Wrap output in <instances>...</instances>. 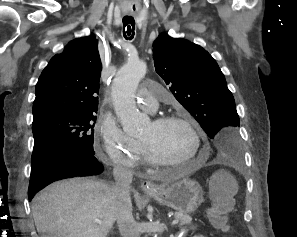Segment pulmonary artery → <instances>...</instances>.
<instances>
[{
	"label": "pulmonary artery",
	"mask_w": 297,
	"mask_h": 237,
	"mask_svg": "<svg viewBox=\"0 0 297 237\" xmlns=\"http://www.w3.org/2000/svg\"><path fill=\"white\" fill-rule=\"evenodd\" d=\"M162 99V90L156 89L150 85L142 86L138 92L137 103L139 106L155 109L158 106V100Z\"/></svg>",
	"instance_id": "e3ab8cb5"
}]
</instances>
